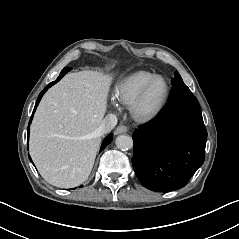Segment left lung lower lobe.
Masks as SVG:
<instances>
[{
    "label": "left lung lower lobe",
    "instance_id": "1",
    "mask_svg": "<svg viewBox=\"0 0 239 239\" xmlns=\"http://www.w3.org/2000/svg\"><path fill=\"white\" fill-rule=\"evenodd\" d=\"M132 137L135 174L152 191L184 187L205 159L207 131L199 103L185 84L173 86L162 114Z\"/></svg>",
    "mask_w": 239,
    "mask_h": 239
}]
</instances>
